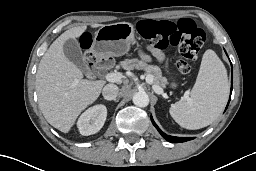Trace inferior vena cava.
<instances>
[{
	"instance_id": "inferior-vena-cava-1",
	"label": "inferior vena cava",
	"mask_w": 256,
	"mask_h": 171,
	"mask_svg": "<svg viewBox=\"0 0 256 171\" xmlns=\"http://www.w3.org/2000/svg\"><path fill=\"white\" fill-rule=\"evenodd\" d=\"M119 88L114 84H107L102 91L103 97L106 100H114L118 96Z\"/></svg>"
}]
</instances>
